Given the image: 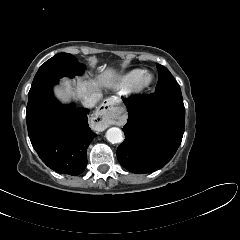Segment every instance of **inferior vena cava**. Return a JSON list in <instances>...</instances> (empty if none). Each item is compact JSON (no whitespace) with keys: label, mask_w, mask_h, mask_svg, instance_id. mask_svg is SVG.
Instances as JSON below:
<instances>
[{"label":"inferior vena cava","mask_w":240,"mask_h":240,"mask_svg":"<svg viewBox=\"0 0 240 240\" xmlns=\"http://www.w3.org/2000/svg\"><path fill=\"white\" fill-rule=\"evenodd\" d=\"M102 98V94L99 92L92 93L82 101V105L86 108H93L97 102Z\"/></svg>","instance_id":"1"}]
</instances>
